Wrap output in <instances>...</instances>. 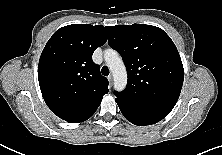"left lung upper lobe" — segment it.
I'll return each mask as SVG.
<instances>
[{
  "instance_id": "5c2ea615",
  "label": "left lung upper lobe",
  "mask_w": 222,
  "mask_h": 155,
  "mask_svg": "<svg viewBox=\"0 0 222 155\" xmlns=\"http://www.w3.org/2000/svg\"><path fill=\"white\" fill-rule=\"evenodd\" d=\"M108 44L126 65L128 84L116 102L165 117L175 106L184 80L183 64L170 37L160 28L133 24L107 26Z\"/></svg>"
}]
</instances>
